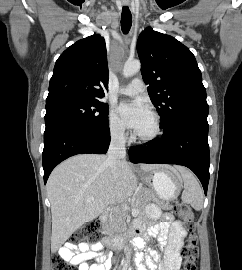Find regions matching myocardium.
<instances>
[{"mask_svg": "<svg viewBox=\"0 0 242 270\" xmlns=\"http://www.w3.org/2000/svg\"><path fill=\"white\" fill-rule=\"evenodd\" d=\"M151 117L153 119L152 132L148 135H138V134L134 135V139L138 141L139 143H143V144L153 143L156 140H158L162 134V123H161L160 117L156 113H152Z\"/></svg>", "mask_w": 242, "mask_h": 270, "instance_id": "obj_1", "label": "myocardium"}]
</instances>
